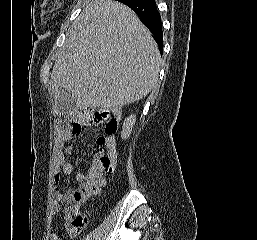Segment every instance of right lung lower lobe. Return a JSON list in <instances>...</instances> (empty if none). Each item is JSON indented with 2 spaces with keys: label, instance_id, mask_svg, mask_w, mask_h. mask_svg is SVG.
I'll return each instance as SVG.
<instances>
[{
  "label": "right lung lower lobe",
  "instance_id": "obj_1",
  "mask_svg": "<svg viewBox=\"0 0 257 240\" xmlns=\"http://www.w3.org/2000/svg\"><path fill=\"white\" fill-rule=\"evenodd\" d=\"M124 4L130 7L140 17L143 24L151 31L162 54V22L155 0H127Z\"/></svg>",
  "mask_w": 257,
  "mask_h": 240
}]
</instances>
